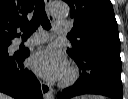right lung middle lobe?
<instances>
[{"label": "right lung middle lobe", "mask_w": 128, "mask_h": 99, "mask_svg": "<svg viewBox=\"0 0 128 99\" xmlns=\"http://www.w3.org/2000/svg\"><path fill=\"white\" fill-rule=\"evenodd\" d=\"M9 46L8 42H0V53L7 52V47Z\"/></svg>", "instance_id": "dd1d6c3e"}]
</instances>
